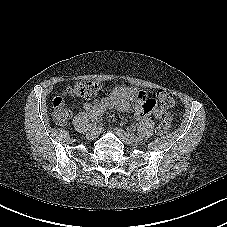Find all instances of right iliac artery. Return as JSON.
I'll use <instances>...</instances> for the list:
<instances>
[{
	"label": "right iliac artery",
	"mask_w": 227,
	"mask_h": 227,
	"mask_svg": "<svg viewBox=\"0 0 227 227\" xmlns=\"http://www.w3.org/2000/svg\"><path fill=\"white\" fill-rule=\"evenodd\" d=\"M103 117L102 113H99L98 115L94 116L95 122L93 123L94 127H99V123H101V118Z\"/></svg>",
	"instance_id": "1"
}]
</instances>
